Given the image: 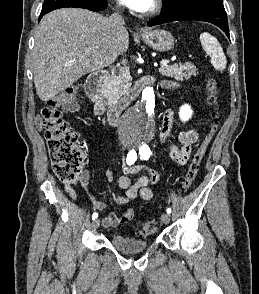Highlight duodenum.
Returning <instances> with one entry per match:
<instances>
[{
    "label": "duodenum",
    "instance_id": "obj_1",
    "mask_svg": "<svg viewBox=\"0 0 259 294\" xmlns=\"http://www.w3.org/2000/svg\"><path fill=\"white\" fill-rule=\"evenodd\" d=\"M108 78V72L106 70H100L93 72L86 80L85 90L87 95L94 103L95 114L98 116L107 115L111 125L118 124L122 107L117 106L113 108L107 107V96L104 90V83ZM149 83V78H144L133 86L128 100H132L139 96L143 88Z\"/></svg>",
    "mask_w": 259,
    "mask_h": 294
}]
</instances>
